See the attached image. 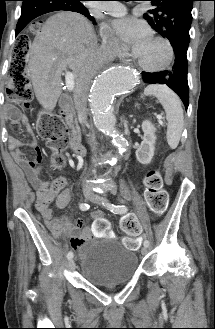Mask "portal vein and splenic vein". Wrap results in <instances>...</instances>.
<instances>
[{
	"mask_svg": "<svg viewBox=\"0 0 215 329\" xmlns=\"http://www.w3.org/2000/svg\"><path fill=\"white\" fill-rule=\"evenodd\" d=\"M65 80H66V86H67L68 90L72 91L74 89V86H75L74 74L70 71H66ZM156 118L159 121H161L162 116L157 115Z\"/></svg>",
	"mask_w": 215,
	"mask_h": 329,
	"instance_id": "18ae733b",
	"label": "portal vein and splenic vein"
}]
</instances>
